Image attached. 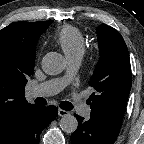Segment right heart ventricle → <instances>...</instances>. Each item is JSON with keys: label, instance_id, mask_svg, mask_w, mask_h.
I'll list each match as a JSON object with an SVG mask.
<instances>
[{"label": "right heart ventricle", "instance_id": "e07e8e85", "mask_svg": "<svg viewBox=\"0 0 144 144\" xmlns=\"http://www.w3.org/2000/svg\"><path fill=\"white\" fill-rule=\"evenodd\" d=\"M54 39L67 58L81 56L84 51V36L75 26L66 25L61 27L56 31Z\"/></svg>", "mask_w": 144, "mask_h": 144}]
</instances>
